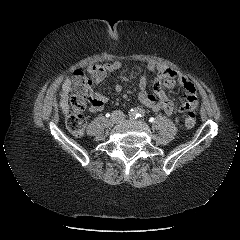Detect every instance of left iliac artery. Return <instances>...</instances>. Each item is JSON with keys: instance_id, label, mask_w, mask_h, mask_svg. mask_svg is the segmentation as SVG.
<instances>
[{"instance_id": "obj_1", "label": "left iliac artery", "mask_w": 240, "mask_h": 240, "mask_svg": "<svg viewBox=\"0 0 240 240\" xmlns=\"http://www.w3.org/2000/svg\"><path fill=\"white\" fill-rule=\"evenodd\" d=\"M137 116L138 117H144L145 116V112L143 110H139Z\"/></svg>"}]
</instances>
